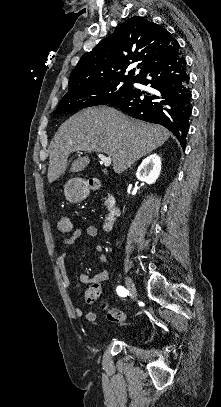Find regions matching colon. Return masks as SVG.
<instances>
[{
  "label": "colon",
  "instance_id": "1",
  "mask_svg": "<svg viewBox=\"0 0 221 407\" xmlns=\"http://www.w3.org/2000/svg\"><path fill=\"white\" fill-rule=\"evenodd\" d=\"M57 231L60 234H65L71 230V223L66 216H61L57 222ZM99 285L92 283L87 291L86 303L93 304L99 298ZM103 309L107 313V318L114 323H122L124 320V312L120 309L110 308L106 303L103 304Z\"/></svg>",
  "mask_w": 221,
  "mask_h": 407
}]
</instances>
